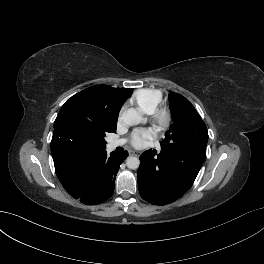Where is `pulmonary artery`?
Here are the masks:
<instances>
[{
	"label": "pulmonary artery",
	"instance_id": "1",
	"mask_svg": "<svg viewBox=\"0 0 264 264\" xmlns=\"http://www.w3.org/2000/svg\"><path fill=\"white\" fill-rule=\"evenodd\" d=\"M125 143L124 139H117V140H113L109 143L108 147L110 149H115L116 147L122 146Z\"/></svg>",
	"mask_w": 264,
	"mask_h": 264
}]
</instances>
